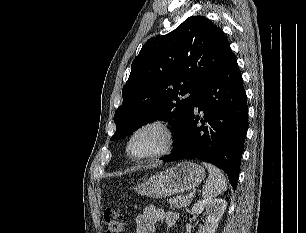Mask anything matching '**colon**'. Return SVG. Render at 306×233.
Instances as JSON below:
<instances>
[{
  "label": "colon",
  "mask_w": 306,
  "mask_h": 233,
  "mask_svg": "<svg viewBox=\"0 0 306 233\" xmlns=\"http://www.w3.org/2000/svg\"><path fill=\"white\" fill-rule=\"evenodd\" d=\"M103 218L107 233H121L123 231L125 219L117 208H106L103 214Z\"/></svg>",
  "instance_id": "obj_1"
}]
</instances>
